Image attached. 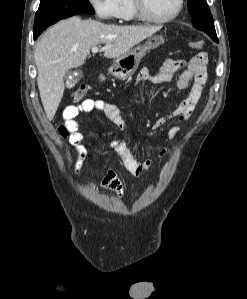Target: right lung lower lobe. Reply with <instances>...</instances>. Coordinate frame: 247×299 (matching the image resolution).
Segmentation results:
<instances>
[{
  "instance_id": "1",
  "label": "right lung lower lobe",
  "mask_w": 247,
  "mask_h": 299,
  "mask_svg": "<svg viewBox=\"0 0 247 299\" xmlns=\"http://www.w3.org/2000/svg\"><path fill=\"white\" fill-rule=\"evenodd\" d=\"M38 36H39V35H38ZM38 36H34V40H36Z\"/></svg>"
}]
</instances>
